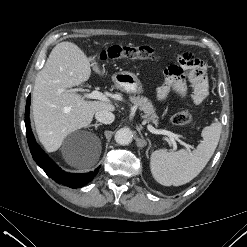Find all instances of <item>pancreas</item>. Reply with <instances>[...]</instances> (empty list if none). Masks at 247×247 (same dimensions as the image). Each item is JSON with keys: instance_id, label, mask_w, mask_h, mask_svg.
I'll return each mask as SVG.
<instances>
[{"instance_id": "1", "label": "pancreas", "mask_w": 247, "mask_h": 247, "mask_svg": "<svg viewBox=\"0 0 247 247\" xmlns=\"http://www.w3.org/2000/svg\"><path fill=\"white\" fill-rule=\"evenodd\" d=\"M130 101L145 113L144 118L147 122L158 125V116L152 102L148 98L143 96H131Z\"/></svg>"}]
</instances>
